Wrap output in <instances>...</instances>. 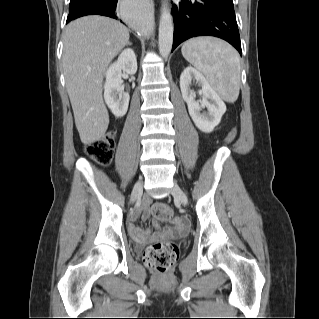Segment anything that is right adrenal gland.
<instances>
[{
	"label": "right adrenal gland",
	"mask_w": 319,
	"mask_h": 319,
	"mask_svg": "<svg viewBox=\"0 0 319 319\" xmlns=\"http://www.w3.org/2000/svg\"><path fill=\"white\" fill-rule=\"evenodd\" d=\"M128 45H129V46H131V45H132V43H131V42H128Z\"/></svg>",
	"instance_id": "obj_1"
}]
</instances>
